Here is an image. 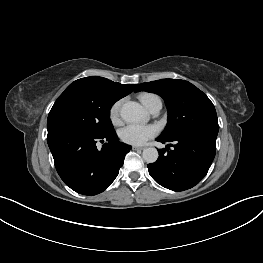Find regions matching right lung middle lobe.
I'll return each mask as SVG.
<instances>
[{
    "label": "right lung middle lobe",
    "instance_id": "right-lung-middle-lobe-1",
    "mask_svg": "<svg viewBox=\"0 0 263 263\" xmlns=\"http://www.w3.org/2000/svg\"><path fill=\"white\" fill-rule=\"evenodd\" d=\"M116 101L93 87L70 84L58 97L48 115V136L68 131L102 136L115 132L109 115Z\"/></svg>",
    "mask_w": 263,
    "mask_h": 263
}]
</instances>
